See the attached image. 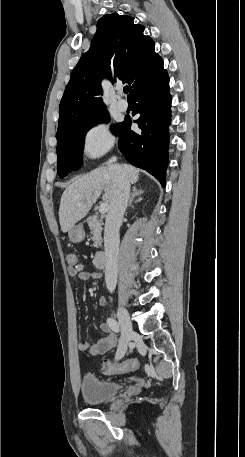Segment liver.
Returning <instances> with one entry per match:
<instances>
[{
  "instance_id": "obj_1",
  "label": "liver",
  "mask_w": 245,
  "mask_h": 457,
  "mask_svg": "<svg viewBox=\"0 0 245 457\" xmlns=\"http://www.w3.org/2000/svg\"><path fill=\"white\" fill-rule=\"evenodd\" d=\"M121 168L126 172L129 182L132 184L137 182L139 168H135L132 164H121ZM102 190H105V194L102 196L103 200L111 202L114 186L108 166H99V168H94L91 172L72 180L71 184L65 188L59 206L58 214L63 233H67L75 222L86 216Z\"/></svg>"
}]
</instances>
